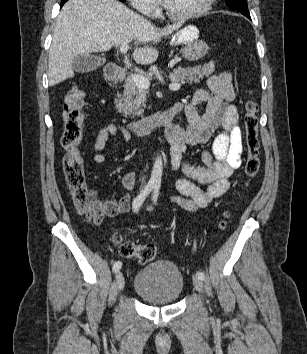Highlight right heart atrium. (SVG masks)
<instances>
[{"instance_id":"1","label":"right heart atrium","mask_w":307,"mask_h":354,"mask_svg":"<svg viewBox=\"0 0 307 354\" xmlns=\"http://www.w3.org/2000/svg\"><path fill=\"white\" fill-rule=\"evenodd\" d=\"M131 6L147 16L155 15L159 10L157 0H128Z\"/></svg>"}]
</instances>
